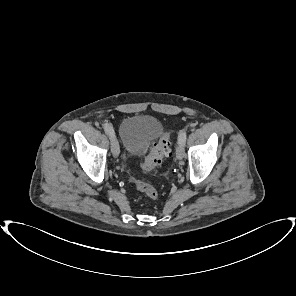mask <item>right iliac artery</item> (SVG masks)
Instances as JSON below:
<instances>
[{
  "mask_svg": "<svg viewBox=\"0 0 296 296\" xmlns=\"http://www.w3.org/2000/svg\"><path fill=\"white\" fill-rule=\"evenodd\" d=\"M103 128H104L105 132H106L109 136L114 135V130H113L112 126H110V125H108V124H105V125L103 126Z\"/></svg>",
  "mask_w": 296,
  "mask_h": 296,
  "instance_id": "82829eb1",
  "label": "right iliac artery"
}]
</instances>
